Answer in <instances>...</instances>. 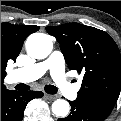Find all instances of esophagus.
<instances>
[{"mask_svg": "<svg viewBox=\"0 0 121 121\" xmlns=\"http://www.w3.org/2000/svg\"><path fill=\"white\" fill-rule=\"evenodd\" d=\"M44 96H45V98L48 99V100H54V99H56V96H55V95H50V94H47V93H46Z\"/></svg>", "mask_w": 121, "mask_h": 121, "instance_id": "obj_1", "label": "esophagus"}]
</instances>
